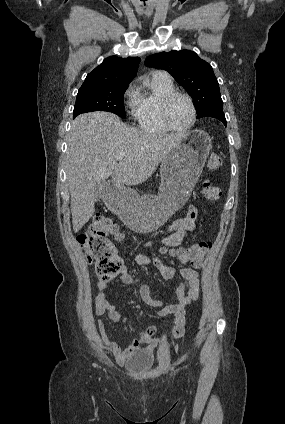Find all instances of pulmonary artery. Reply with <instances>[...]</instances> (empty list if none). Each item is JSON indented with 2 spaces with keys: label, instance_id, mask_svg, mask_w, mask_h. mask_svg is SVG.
Wrapping results in <instances>:
<instances>
[{
  "label": "pulmonary artery",
  "instance_id": "obj_1",
  "mask_svg": "<svg viewBox=\"0 0 285 424\" xmlns=\"http://www.w3.org/2000/svg\"><path fill=\"white\" fill-rule=\"evenodd\" d=\"M155 74L158 75L159 77L165 79V80H171L170 75L165 71H157Z\"/></svg>",
  "mask_w": 285,
  "mask_h": 424
}]
</instances>
